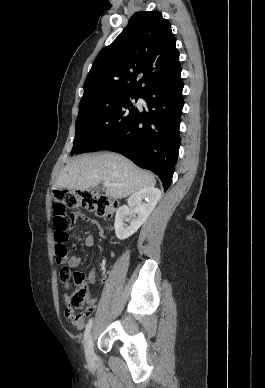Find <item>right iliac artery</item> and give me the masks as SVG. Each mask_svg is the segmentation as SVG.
<instances>
[{"mask_svg": "<svg viewBox=\"0 0 265 388\" xmlns=\"http://www.w3.org/2000/svg\"><path fill=\"white\" fill-rule=\"evenodd\" d=\"M93 319L89 320V322L86 325L85 331H84V340L88 337L90 330L92 328Z\"/></svg>", "mask_w": 265, "mask_h": 388, "instance_id": "obj_1", "label": "right iliac artery"}]
</instances>
